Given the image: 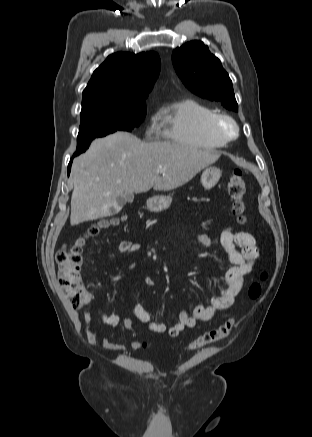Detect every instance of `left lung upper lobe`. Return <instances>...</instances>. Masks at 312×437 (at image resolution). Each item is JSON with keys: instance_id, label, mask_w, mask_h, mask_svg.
Returning <instances> with one entry per match:
<instances>
[{"instance_id": "left-lung-upper-lobe-1", "label": "left lung upper lobe", "mask_w": 312, "mask_h": 437, "mask_svg": "<svg viewBox=\"0 0 312 437\" xmlns=\"http://www.w3.org/2000/svg\"><path fill=\"white\" fill-rule=\"evenodd\" d=\"M172 62L182 82L193 93L238 111L228 73L203 42L195 40L175 49Z\"/></svg>"}]
</instances>
